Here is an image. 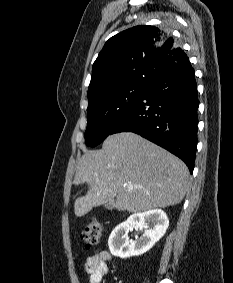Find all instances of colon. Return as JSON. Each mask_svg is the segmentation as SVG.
<instances>
[{
  "instance_id": "obj_1",
  "label": "colon",
  "mask_w": 233,
  "mask_h": 283,
  "mask_svg": "<svg viewBox=\"0 0 233 283\" xmlns=\"http://www.w3.org/2000/svg\"><path fill=\"white\" fill-rule=\"evenodd\" d=\"M102 225L99 220L92 219L83 229L80 235V241L87 247L98 243L101 237Z\"/></svg>"
}]
</instances>
